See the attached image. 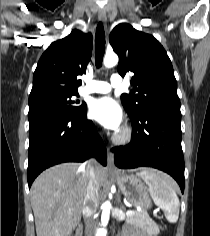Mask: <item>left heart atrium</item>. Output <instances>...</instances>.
Masks as SVG:
<instances>
[{"label": "left heart atrium", "mask_w": 210, "mask_h": 236, "mask_svg": "<svg viewBox=\"0 0 210 236\" xmlns=\"http://www.w3.org/2000/svg\"><path fill=\"white\" fill-rule=\"evenodd\" d=\"M90 116L107 129L118 131L123 122V114L118 104L110 97L96 100L90 109Z\"/></svg>", "instance_id": "39dd6f15"}]
</instances>
